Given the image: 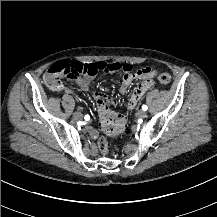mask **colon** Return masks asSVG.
<instances>
[{
  "instance_id": "5ec220e1",
  "label": "colon",
  "mask_w": 217,
  "mask_h": 217,
  "mask_svg": "<svg viewBox=\"0 0 217 217\" xmlns=\"http://www.w3.org/2000/svg\"><path fill=\"white\" fill-rule=\"evenodd\" d=\"M131 66L125 62H94V63H77L75 60H68L66 62H61L52 65L48 71L45 73V78L48 83H50V88L53 91H58L61 88V83L57 79L61 76L65 78L72 79L75 76L95 74L100 71H129ZM154 71L151 68L138 69L136 71V77L143 78L145 80H150L153 77ZM162 84H168L170 82V76L167 73H163L159 80ZM107 138L101 135L98 138V146L100 148V153L106 156L109 153L107 149Z\"/></svg>"
}]
</instances>
